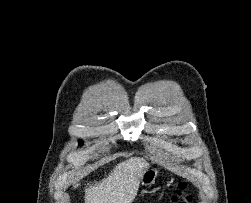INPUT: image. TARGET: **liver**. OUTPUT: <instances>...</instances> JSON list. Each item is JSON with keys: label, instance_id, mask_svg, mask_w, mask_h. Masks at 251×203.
<instances>
[{"label": "liver", "instance_id": "liver-1", "mask_svg": "<svg viewBox=\"0 0 251 203\" xmlns=\"http://www.w3.org/2000/svg\"><path fill=\"white\" fill-rule=\"evenodd\" d=\"M148 167V162L136 157L119 163L107 178L99 183L95 181L94 184H88L85 188V203H132Z\"/></svg>", "mask_w": 251, "mask_h": 203}]
</instances>
